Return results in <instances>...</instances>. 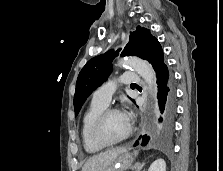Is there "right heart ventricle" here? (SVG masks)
<instances>
[{
	"instance_id": "e07e8e85",
	"label": "right heart ventricle",
	"mask_w": 223,
	"mask_h": 171,
	"mask_svg": "<svg viewBox=\"0 0 223 171\" xmlns=\"http://www.w3.org/2000/svg\"><path fill=\"white\" fill-rule=\"evenodd\" d=\"M107 106L96 101H92L83 114L81 120L80 135L83 147L87 153L95 154L103 150V146L98 145L91 136V126L97 115Z\"/></svg>"
}]
</instances>
